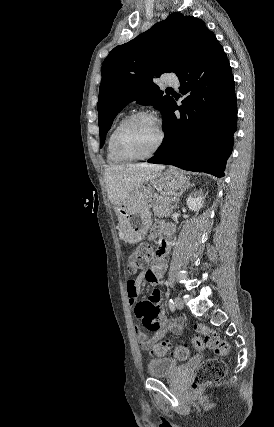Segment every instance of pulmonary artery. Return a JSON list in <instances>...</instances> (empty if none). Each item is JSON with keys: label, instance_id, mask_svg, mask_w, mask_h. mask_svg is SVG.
<instances>
[{"label": "pulmonary artery", "instance_id": "e3ab8cb5", "mask_svg": "<svg viewBox=\"0 0 274 427\" xmlns=\"http://www.w3.org/2000/svg\"><path fill=\"white\" fill-rule=\"evenodd\" d=\"M167 83L168 84H170V85H174V84H176V82H177V79H176V77H174V76H170V77H168L167 78Z\"/></svg>", "mask_w": 274, "mask_h": 427}]
</instances>
